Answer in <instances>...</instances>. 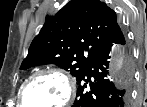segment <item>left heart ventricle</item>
<instances>
[{
	"instance_id": "1",
	"label": "left heart ventricle",
	"mask_w": 147,
	"mask_h": 107,
	"mask_svg": "<svg viewBox=\"0 0 147 107\" xmlns=\"http://www.w3.org/2000/svg\"><path fill=\"white\" fill-rule=\"evenodd\" d=\"M66 87L57 76H42L36 79L25 94L29 107H54L63 102Z\"/></svg>"
}]
</instances>
